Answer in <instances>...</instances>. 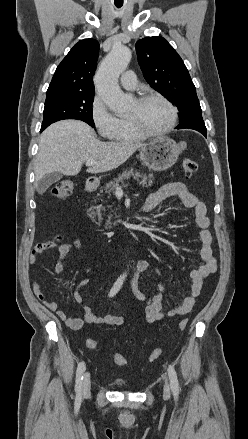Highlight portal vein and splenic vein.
Wrapping results in <instances>:
<instances>
[{
  "label": "portal vein and splenic vein",
  "mask_w": 248,
  "mask_h": 439,
  "mask_svg": "<svg viewBox=\"0 0 248 439\" xmlns=\"http://www.w3.org/2000/svg\"><path fill=\"white\" fill-rule=\"evenodd\" d=\"M95 163H96L95 160H88V161H86V166H92V165H94ZM115 192H116V194H122V193H123L122 186H117V187L115 188Z\"/></svg>",
  "instance_id": "18ae733b"
}]
</instances>
